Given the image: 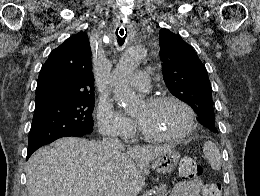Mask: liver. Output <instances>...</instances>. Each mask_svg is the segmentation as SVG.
Segmentation results:
<instances>
[{
    "mask_svg": "<svg viewBox=\"0 0 260 196\" xmlns=\"http://www.w3.org/2000/svg\"><path fill=\"white\" fill-rule=\"evenodd\" d=\"M173 146H133L109 152L100 142L60 138L32 154L28 196H138L149 164Z\"/></svg>",
    "mask_w": 260,
    "mask_h": 196,
    "instance_id": "6515ba94",
    "label": "liver"
}]
</instances>
